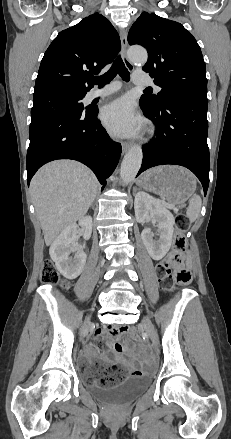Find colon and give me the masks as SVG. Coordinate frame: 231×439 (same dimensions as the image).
<instances>
[{"instance_id":"obj_1","label":"colon","mask_w":231,"mask_h":439,"mask_svg":"<svg viewBox=\"0 0 231 439\" xmlns=\"http://www.w3.org/2000/svg\"><path fill=\"white\" fill-rule=\"evenodd\" d=\"M190 222L183 215H177L175 219L176 233L174 236L175 253L171 259L162 261L156 268V275L162 287L166 291H171L176 285H187L191 281V273L185 267L184 262L187 257L186 240L184 233L188 230ZM41 281L45 285H55L61 281L58 272L50 261L43 264ZM118 333L133 334V329L129 326L116 328ZM126 370L114 365L105 371L100 370L97 382L101 386H112L123 380Z\"/></svg>"}]
</instances>
